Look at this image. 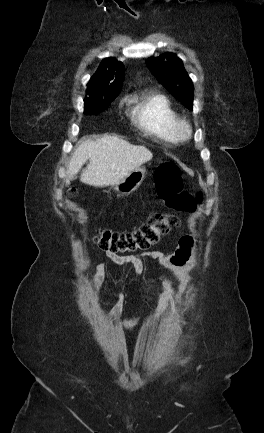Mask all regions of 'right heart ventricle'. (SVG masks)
Here are the masks:
<instances>
[{
  "mask_svg": "<svg viewBox=\"0 0 264 433\" xmlns=\"http://www.w3.org/2000/svg\"><path fill=\"white\" fill-rule=\"evenodd\" d=\"M128 103L130 118L141 131L164 143L179 141L176 124L180 118L165 95L144 92L129 97Z\"/></svg>",
  "mask_w": 264,
  "mask_h": 433,
  "instance_id": "obj_1",
  "label": "right heart ventricle"
}]
</instances>
